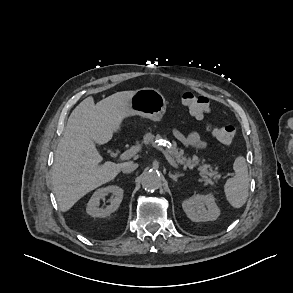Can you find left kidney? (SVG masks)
I'll return each instance as SVG.
<instances>
[{
    "mask_svg": "<svg viewBox=\"0 0 293 293\" xmlns=\"http://www.w3.org/2000/svg\"><path fill=\"white\" fill-rule=\"evenodd\" d=\"M182 208L187 217L193 222L214 221L220 215V209L211 193L207 195H194L184 200Z\"/></svg>",
    "mask_w": 293,
    "mask_h": 293,
    "instance_id": "left-kidney-1",
    "label": "left kidney"
}]
</instances>
